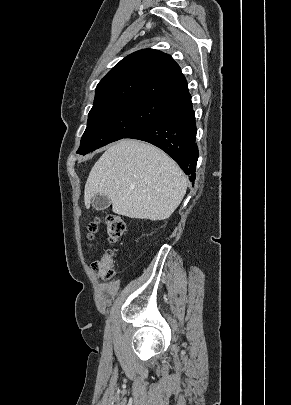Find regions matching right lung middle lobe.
<instances>
[{
	"label": "right lung middle lobe",
	"mask_w": 291,
	"mask_h": 405,
	"mask_svg": "<svg viewBox=\"0 0 291 405\" xmlns=\"http://www.w3.org/2000/svg\"><path fill=\"white\" fill-rule=\"evenodd\" d=\"M166 103L143 98L123 99L94 106L77 151L84 155L125 138L139 129L165 107Z\"/></svg>",
	"instance_id": "obj_1"
}]
</instances>
